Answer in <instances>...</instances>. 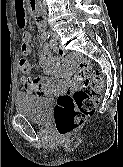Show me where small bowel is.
<instances>
[{
    "label": "small bowel",
    "mask_w": 123,
    "mask_h": 167,
    "mask_svg": "<svg viewBox=\"0 0 123 167\" xmlns=\"http://www.w3.org/2000/svg\"><path fill=\"white\" fill-rule=\"evenodd\" d=\"M14 3L17 9L15 10V14H17L18 24L20 27H24L27 24V13H25L27 1L14 0ZM37 27L39 28L38 23ZM20 49L24 56H30L32 54L33 47L30 32H23ZM63 56L64 53L62 50L56 49V56H52L48 47L40 45L38 49V61L40 67L47 75L41 77L23 76L20 80L21 92L34 96L52 98L67 90L69 83L64 75ZM31 68L30 66V71Z\"/></svg>",
    "instance_id": "1"
}]
</instances>
